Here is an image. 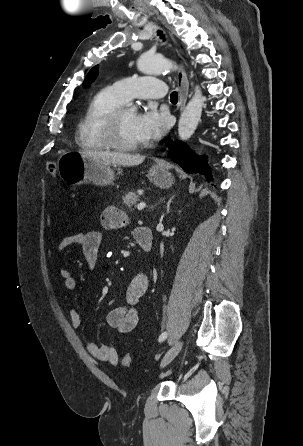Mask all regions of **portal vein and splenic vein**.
I'll return each mask as SVG.
<instances>
[{"label":"portal vein and splenic vein","instance_id":"1","mask_svg":"<svg viewBox=\"0 0 303 446\" xmlns=\"http://www.w3.org/2000/svg\"><path fill=\"white\" fill-rule=\"evenodd\" d=\"M145 207H146V203H144V202H140V203L137 205V209H138V210H143Z\"/></svg>","mask_w":303,"mask_h":446}]
</instances>
